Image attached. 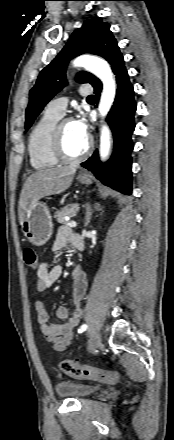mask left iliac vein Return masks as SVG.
<instances>
[{"instance_id": "4c4485c4", "label": "left iliac vein", "mask_w": 174, "mask_h": 440, "mask_svg": "<svg viewBox=\"0 0 174 440\" xmlns=\"http://www.w3.org/2000/svg\"><path fill=\"white\" fill-rule=\"evenodd\" d=\"M101 345V334L98 332L94 336L93 340L89 343L88 349L90 352L95 351Z\"/></svg>"}]
</instances>
